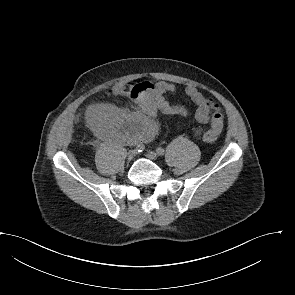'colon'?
I'll list each match as a JSON object with an SVG mask.
<instances>
[{
  "label": "colon",
  "mask_w": 295,
  "mask_h": 295,
  "mask_svg": "<svg viewBox=\"0 0 295 295\" xmlns=\"http://www.w3.org/2000/svg\"><path fill=\"white\" fill-rule=\"evenodd\" d=\"M219 113H220V110H219L218 106H216L215 110H214V117L215 118L218 117ZM203 138L207 143H212L216 140L217 136H215L212 133L205 132V134L203 135Z\"/></svg>",
  "instance_id": "1"
}]
</instances>
